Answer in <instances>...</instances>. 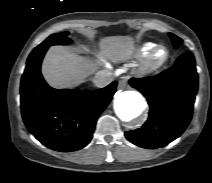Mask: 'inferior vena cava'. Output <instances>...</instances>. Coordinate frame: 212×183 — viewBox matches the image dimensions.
<instances>
[{
    "label": "inferior vena cava",
    "mask_w": 212,
    "mask_h": 183,
    "mask_svg": "<svg viewBox=\"0 0 212 183\" xmlns=\"http://www.w3.org/2000/svg\"><path fill=\"white\" fill-rule=\"evenodd\" d=\"M112 73L109 71H99L93 77V83L99 88H103L112 82Z\"/></svg>",
    "instance_id": "1"
}]
</instances>
